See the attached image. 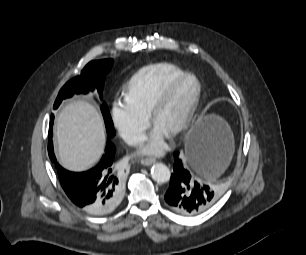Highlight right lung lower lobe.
Segmentation results:
<instances>
[{"instance_id":"98d812e1","label":"right lung lower lobe","mask_w":306,"mask_h":255,"mask_svg":"<svg viewBox=\"0 0 306 255\" xmlns=\"http://www.w3.org/2000/svg\"><path fill=\"white\" fill-rule=\"evenodd\" d=\"M52 123L51 118L50 134ZM48 150L50 158L56 162L51 141ZM105 151L96 167L81 173L67 171L56 163L58 177L67 196L75 205L93 215L110 213L122 196L121 177L113 161L115 147L111 142Z\"/></svg>"}]
</instances>
